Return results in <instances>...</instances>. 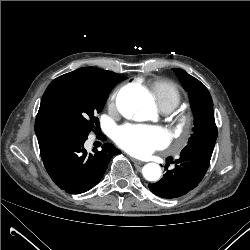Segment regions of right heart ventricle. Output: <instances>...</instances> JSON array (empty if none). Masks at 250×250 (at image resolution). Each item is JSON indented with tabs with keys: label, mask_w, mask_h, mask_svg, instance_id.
Listing matches in <instances>:
<instances>
[{
	"label": "right heart ventricle",
	"mask_w": 250,
	"mask_h": 250,
	"mask_svg": "<svg viewBox=\"0 0 250 250\" xmlns=\"http://www.w3.org/2000/svg\"><path fill=\"white\" fill-rule=\"evenodd\" d=\"M151 93L163 111H172L182 99L181 91L176 83L170 80H157L151 85Z\"/></svg>",
	"instance_id": "obj_1"
}]
</instances>
